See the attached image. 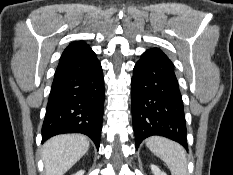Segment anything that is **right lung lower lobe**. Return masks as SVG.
I'll return each instance as SVG.
<instances>
[{
  "label": "right lung lower lobe",
  "mask_w": 233,
  "mask_h": 175,
  "mask_svg": "<svg viewBox=\"0 0 233 175\" xmlns=\"http://www.w3.org/2000/svg\"><path fill=\"white\" fill-rule=\"evenodd\" d=\"M104 111V79L96 54L91 51L59 63L42 126V142L63 133H83L97 149Z\"/></svg>",
  "instance_id": "98d812e1"
}]
</instances>
